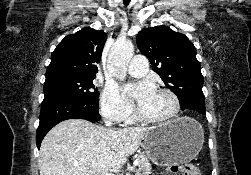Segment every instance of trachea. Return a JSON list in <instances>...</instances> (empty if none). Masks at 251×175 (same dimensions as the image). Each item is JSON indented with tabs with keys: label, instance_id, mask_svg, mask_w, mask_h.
Wrapping results in <instances>:
<instances>
[{
	"label": "trachea",
	"instance_id": "trachea-1",
	"mask_svg": "<svg viewBox=\"0 0 251 175\" xmlns=\"http://www.w3.org/2000/svg\"><path fill=\"white\" fill-rule=\"evenodd\" d=\"M130 0H124V5H128Z\"/></svg>",
	"mask_w": 251,
	"mask_h": 175
}]
</instances>
